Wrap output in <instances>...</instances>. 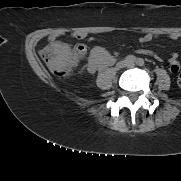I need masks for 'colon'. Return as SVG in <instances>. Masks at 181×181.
<instances>
[{
  "instance_id": "1",
  "label": "colon",
  "mask_w": 181,
  "mask_h": 181,
  "mask_svg": "<svg viewBox=\"0 0 181 181\" xmlns=\"http://www.w3.org/2000/svg\"><path fill=\"white\" fill-rule=\"evenodd\" d=\"M85 51L83 45H77L72 50L51 45L42 50L41 58L56 76L67 78L72 74L77 58L84 54ZM177 83L181 88V73L178 75Z\"/></svg>"
}]
</instances>
